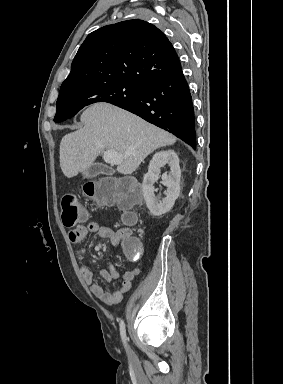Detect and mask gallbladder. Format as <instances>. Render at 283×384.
Here are the masks:
<instances>
[{
    "instance_id": "obj_1",
    "label": "gallbladder",
    "mask_w": 283,
    "mask_h": 384,
    "mask_svg": "<svg viewBox=\"0 0 283 384\" xmlns=\"http://www.w3.org/2000/svg\"><path fill=\"white\" fill-rule=\"evenodd\" d=\"M109 167L107 165H90L89 170H86L85 176L89 177H99L100 172H107Z\"/></svg>"
}]
</instances>
